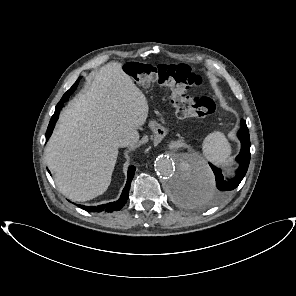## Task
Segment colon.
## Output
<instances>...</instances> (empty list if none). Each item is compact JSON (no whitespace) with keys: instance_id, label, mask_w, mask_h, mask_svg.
I'll return each instance as SVG.
<instances>
[{"instance_id":"1","label":"colon","mask_w":296,"mask_h":296,"mask_svg":"<svg viewBox=\"0 0 296 296\" xmlns=\"http://www.w3.org/2000/svg\"><path fill=\"white\" fill-rule=\"evenodd\" d=\"M124 69L140 86L156 83L170 88L172 103L179 118H204L213 114L216 110V105L211 98L188 95V90L191 87L200 86L203 80L201 76L193 73L187 65H151L128 62Z\"/></svg>"}]
</instances>
